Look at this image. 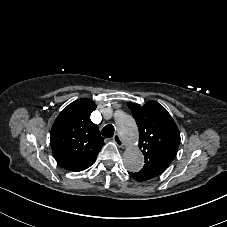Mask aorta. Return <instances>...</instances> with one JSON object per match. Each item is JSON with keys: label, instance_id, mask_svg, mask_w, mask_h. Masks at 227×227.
I'll return each mask as SVG.
<instances>
[{"label": "aorta", "instance_id": "obj_1", "mask_svg": "<svg viewBox=\"0 0 227 227\" xmlns=\"http://www.w3.org/2000/svg\"><path fill=\"white\" fill-rule=\"evenodd\" d=\"M119 135L128 145L124 152L123 162L130 172H138L144 165V156L136 146L138 141V128L132 116L120 113L116 119Z\"/></svg>", "mask_w": 227, "mask_h": 227}]
</instances>
